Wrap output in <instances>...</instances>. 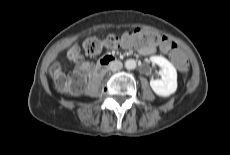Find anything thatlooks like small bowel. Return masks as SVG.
Listing matches in <instances>:
<instances>
[{"label":"small bowel","mask_w":230,"mask_h":155,"mask_svg":"<svg viewBox=\"0 0 230 155\" xmlns=\"http://www.w3.org/2000/svg\"><path fill=\"white\" fill-rule=\"evenodd\" d=\"M155 50V48L153 46H148V47H141L139 49V51L144 54V55H148V54H151L153 53ZM163 50V49H162ZM164 51V50H163Z\"/></svg>","instance_id":"small-bowel-1"}]
</instances>
